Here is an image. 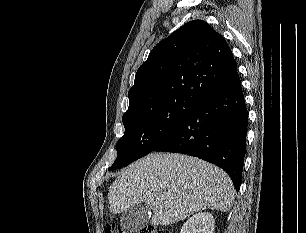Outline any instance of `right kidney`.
<instances>
[{
  "label": "right kidney",
  "mask_w": 306,
  "mask_h": 233,
  "mask_svg": "<svg viewBox=\"0 0 306 233\" xmlns=\"http://www.w3.org/2000/svg\"><path fill=\"white\" fill-rule=\"evenodd\" d=\"M215 219L209 212L197 213L182 226L180 233H213Z\"/></svg>",
  "instance_id": "ca27d5eb"
}]
</instances>
